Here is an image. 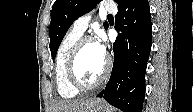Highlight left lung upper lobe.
<instances>
[{
  "mask_svg": "<svg viewBox=\"0 0 193 112\" xmlns=\"http://www.w3.org/2000/svg\"><path fill=\"white\" fill-rule=\"evenodd\" d=\"M101 0H56L52 6L51 22L49 26L50 50L55 58L59 45L71 24L80 16L91 11ZM118 8L128 0H114ZM105 29L108 23H104Z\"/></svg>",
  "mask_w": 193,
  "mask_h": 112,
  "instance_id": "5c2ea615",
  "label": "left lung upper lobe"
}]
</instances>
